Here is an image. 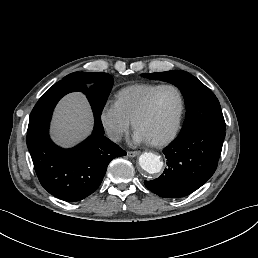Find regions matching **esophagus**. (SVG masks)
<instances>
[{
	"instance_id": "esophagus-1",
	"label": "esophagus",
	"mask_w": 258,
	"mask_h": 258,
	"mask_svg": "<svg viewBox=\"0 0 258 258\" xmlns=\"http://www.w3.org/2000/svg\"><path fill=\"white\" fill-rule=\"evenodd\" d=\"M139 154H141V151L127 152V155H128L129 157H136V156H138Z\"/></svg>"
}]
</instances>
